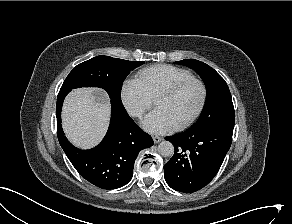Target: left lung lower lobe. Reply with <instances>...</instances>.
Masks as SVG:
<instances>
[{
	"mask_svg": "<svg viewBox=\"0 0 292 224\" xmlns=\"http://www.w3.org/2000/svg\"><path fill=\"white\" fill-rule=\"evenodd\" d=\"M234 123L235 117H228L166 137L175 146L173 157L164 166L167 184L184 193L206 186L219 171L231 146Z\"/></svg>",
	"mask_w": 292,
	"mask_h": 224,
	"instance_id": "left-lung-lower-lobe-1",
	"label": "left lung lower lobe"
}]
</instances>
